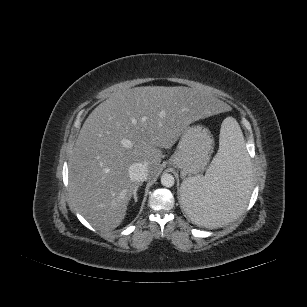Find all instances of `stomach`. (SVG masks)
I'll list each match as a JSON object with an SVG mask.
<instances>
[{"mask_svg":"<svg viewBox=\"0 0 307 307\" xmlns=\"http://www.w3.org/2000/svg\"><path fill=\"white\" fill-rule=\"evenodd\" d=\"M210 131L200 125L188 126L182 133L169 165L181 170V176L195 175L204 171L213 151Z\"/></svg>","mask_w":307,"mask_h":307,"instance_id":"stomach-1","label":"stomach"}]
</instances>
